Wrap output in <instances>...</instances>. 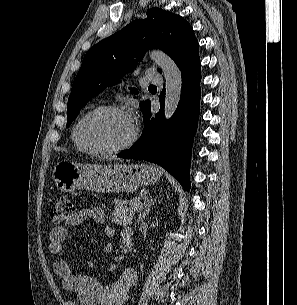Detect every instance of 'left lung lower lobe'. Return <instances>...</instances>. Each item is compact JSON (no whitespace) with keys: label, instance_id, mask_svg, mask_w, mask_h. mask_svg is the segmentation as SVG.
Returning a JSON list of instances; mask_svg holds the SVG:
<instances>
[{"label":"left lung lower lobe","instance_id":"left-lung-lower-lobe-1","mask_svg":"<svg viewBox=\"0 0 297 305\" xmlns=\"http://www.w3.org/2000/svg\"><path fill=\"white\" fill-rule=\"evenodd\" d=\"M182 93L174 115L164 118L165 89L160 94V111L151 117L150 102L142 109L145 128L134 146L117 156L153 162L166 169L181 185L190 189L189 164L197 128L200 101V64L183 65Z\"/></svg>","mask_w":297,"mask_h":305}]
</instances>
